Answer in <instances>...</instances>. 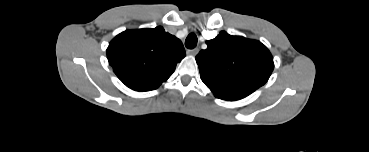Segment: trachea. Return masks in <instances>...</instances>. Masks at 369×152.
Instances as JSON below:
<instances>
[{
	"label": "trachea",
	"instance_id": "3493384b",
	"mask_svg": "<svg viewBox=\"0 0 369 152\" xmlns=\"http://www.w3.org/2000/svg\"><path fill=\"white\" fill-rule=\"evenodd\" d=\"M197 41H198V39H197L196 34L190 33L187 36L186 40H185V46H186V48H188V49L195 48L196 45H197Z\"/></svg>",
	"mask_w": 369,
	"mask_h": 152
}]
</instances>
